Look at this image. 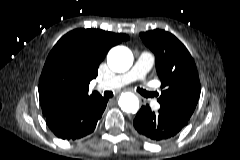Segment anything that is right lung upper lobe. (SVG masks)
Segmentation results:
<instances>
[{
  "mask_svg": "<svg viewBox=\"0 0 240 160\" xmlns=\"http://www.w3.org/2000/svg\"><path fill=\"white\" fill-rule=\"evenodd\" d=\"M129 36L98 29H75L65 34L49 53L39 80V99L46 118L76 106L89 94V83L98 74L108 50Z\"/></svg>",
  "mask_w": 240,
  "mask_h": 160,
  "instance_id": "cb5924a9",
  "label": "right lung upper lobe"
}]
</instances>
